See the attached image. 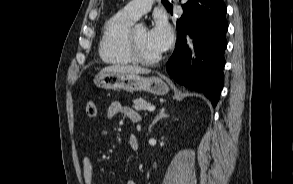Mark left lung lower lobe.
<instances>
[{"mask_svg": "<svg viewBox=\"0 0 293 184\" xmlns=\"http://www.w3.org/2000/svg\"><path fill=\"white\" fill-rule=\"evenodd\" d=\"M184 14L177 20V42L167 63V71L180 84L203 92L215 107L223 87L227 8L223 0H188ZM193 38L197 56L195 69L188 72L191 59L185 35Z\"/></svg>", "mask_w": 293, "mask_h": 184, "instance_id": "left-lung-lower-lobe-1", "label": "left lung lower lobe"}]
</instances>
